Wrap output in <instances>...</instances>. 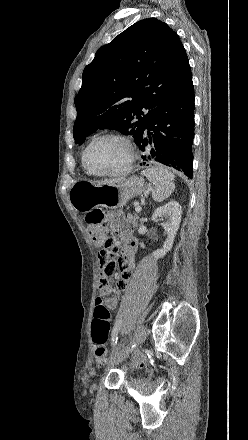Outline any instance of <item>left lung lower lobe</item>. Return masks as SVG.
Wrapping results in <instances>:
<instances>
[{
	"mask_svg": "<svg viewBox=\"0 0 248 440\" xmlns=\"http://www.w3.org/2000/svg\"><path fill=\"white\" fill-rule=\"evenodd\" d=\"M145 129L152 137L142 136L138 145L150 155L142 156L140 165H158L176 169L192 179L194 138V86L192 81L173 92L152 115ZM144 129V130H145ZM150 135L149 132H147Z\"/></svg>",
	"mask_w": 248,
	"mask_h": 440,
	"instance_id": "0a47b994",
	"label": "left lung lower lobe"
}]
</instances>
